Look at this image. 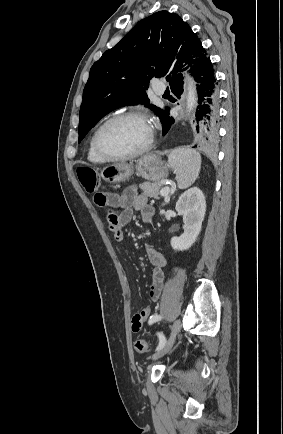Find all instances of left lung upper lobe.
I'll list each match as a JSON object with an SVG mask.
<instances>
[{"label": "left lung upper lobe", "instance_id": "left-lung-upper-lobe-1", "mask_svg": "<svg viewBox=\"0 0 283 434\" xmlns=\"http://www.w3.org/2000/svg\"><path fill=\"white\" fill-rule=\"evenodd\" d=\"M206 59L200 39L179 15L159 11L139 21L91 67L80 107L79 142L101 118L126 105L146 104L163 123L167 112L149 104L150 80L165 77L172 87L183 82L180 72L189 67L193 73ZM183 62L187 68L182 69Z\"/></svg>", "mask_w": 283, "mask_h": 434}]
</instances>
